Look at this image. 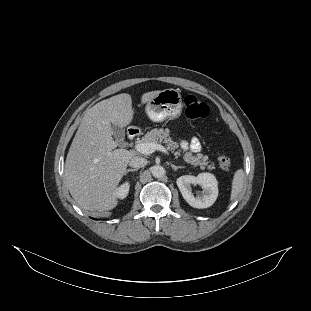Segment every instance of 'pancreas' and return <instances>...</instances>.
Listing matches in <instances>:
<instances>
[{"instance_id":"obj_1","label":"pancreas","mask_w":311,"mask_h":311,"mask_svg":"<svg viewBox=\"0 0 311 311\" xmlns=\"http://www.w3.org/2000/svg\"><path fill=\"white\" fill-rule=\"evenodd\" d=\"M141 143H155L161 142L165 144L168 149L172 151L176 158L182 157L183 163H189L193 168L198 167L200 170L212 171L215 169V163L208 160V156L201 153L194 154L191 151L182 150L177 141L171 137V131L166 128H155L148 131L140 140Z\"/></svg>"}]
</instances>
